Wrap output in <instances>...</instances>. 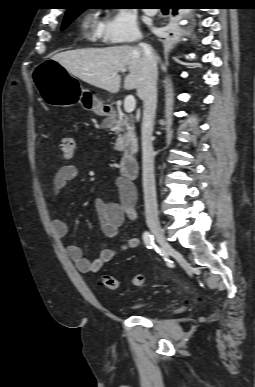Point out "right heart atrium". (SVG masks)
Masks as SVG:
<instances>
[{"instance_id": "1", "label": "right heart atrium", "mask_w": 255, "mask_h": 387, "mask_svg": "<svg viewBox=\"0 0 255 387\" xmlns=\"http://www.w3.org/2000/svg\"><path fill=\"white\" fill-rule=\"evenodd\" d=\"M100 37L109 45L129 44L141 39L135 16L127 9H117L102 23Z\"/></svg>"}]
</instances>
